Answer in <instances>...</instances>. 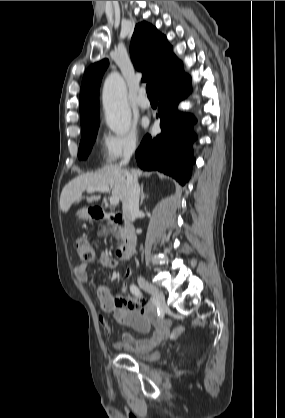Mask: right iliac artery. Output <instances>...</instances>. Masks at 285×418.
Masks as SVG:
<instances>
[{
    "instance_id": "obj_1",
    "label": "right iliac artery",
    "mask_w": 285,
    "mask_h": 418,
    "mask_svg": "<svg viewBox=\"0 0 285 418\" xmlns=\"http://www.w3.org/2000/svg\"><path fill=\"white\" fill-rule=\"evenodd\" d=\"M130 290H131V292L134 294V295H136V296H138V297H143V294H142V292H141V290L136 286V285H134V284H131V286H130ZM158 315L160 316V314L158 313Z\"/></svg>"
}]
</instances>
